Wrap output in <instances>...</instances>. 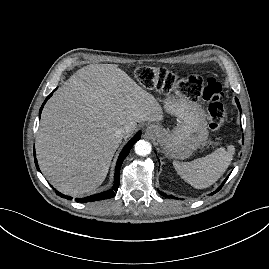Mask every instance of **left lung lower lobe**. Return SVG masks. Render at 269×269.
<instances>
[{
	"label": "left lung lower lobe",
	"mask_w": 269,
	"mask_h": 269,
	"mask_svg": "<svg viewBox=\"0 0 269 269\" xmlns=\"http://www.w3.org/2000/svg\"><path fill=\"white\" fill-rule=\"evenodd\" d=\"M235 101H236V103H237V106H238L239 110L241 111V107H240V103H239L238 99L235 98ZM243 140H244V139H243ZM227 178H228V177H227ZM227 178L223 181V183L221 184V186H219L215 192L211 193L212 195H213L214 193L218 192V191L222 188V186H223L224 183L226 182ZM163 195L166 196V197H168L166 194H163ZM170 197H171V196H170ZM173 198H174V197H173Z\"/></svg>",
	"instance_id": "0a47b994"
}]
</instances>
